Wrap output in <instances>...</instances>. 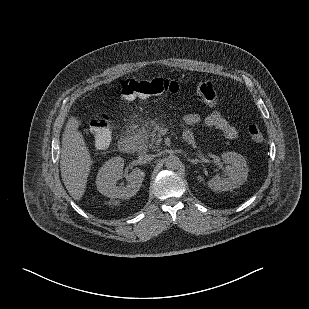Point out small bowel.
Here are the masks:
<instances>
[{"mask_svg": "<svg viewBox=\"0 0 309 309\" xmlns=\"http://www.w3.org/2000/svg\"><path fill=\"white\" fill-rule=\"evenodd\" d=\"M184 121L189 128L185 130L183 138L185 136H190L194 139V135L190 127L196 125L199 122L198 115L195 113H189L185 116ZM205 124L209 127L219 130L226 139L232 140L238 136L237 129L219 113L209 114L205 119Z\"/></svg>", "mask_w": 309, "mask_h": 309, "instance_id": "c3829d8e", "label": "small bowel"}]
</instances>
